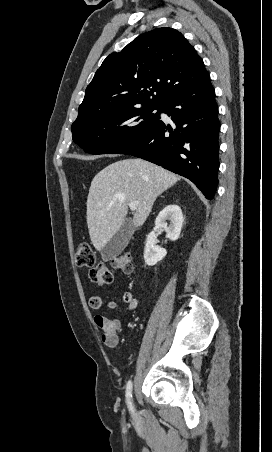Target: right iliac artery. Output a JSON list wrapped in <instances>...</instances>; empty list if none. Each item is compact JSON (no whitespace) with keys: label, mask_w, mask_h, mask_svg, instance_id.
I'll return each mask as SVG.
<instances>
[{"label":"right iliac artery","mask_w":272,"mask_h":452,"mask_svg":"<svg viewBox=\"0 0 272 452\" xmlns=\"http://www.w3.org/2000/svg\"><path fill=\"white\" fill-rule=\"evenodd\" d=\"M132 382L129 380L127 382V386H126V400H127V405L129 410L133 413L134 409H133V405H132Z\"/></svg>","instance_id":"obj_1"}]
</instances>
